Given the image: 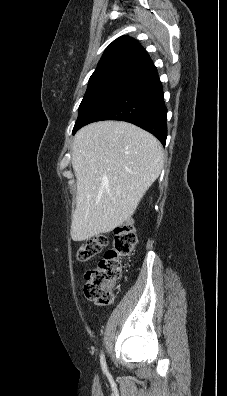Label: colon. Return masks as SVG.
<instances>
[{
    "mask_svg": "<svg viewBox=\"0 0 227 396\" xmlns=\"http://www.w3.org/2000/svg\"><path fill=\"white\" fill-rule=\"evenodd\" d=\"M107 242L104 235L86 240L78 248L77 258L86 261L98 255ZM136 242V233L130 222L115 229L112 248L105 252L95 268L85 274L84 293L89 300L100 306L113 302L115 287L122 277V260L133 252Z\"/></svg>",
    "mask_w": 227,
    "mask_h": 396,
    "instance_id": "colon-1",
    "label": "colon"
}]
</instances>
